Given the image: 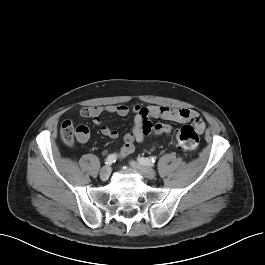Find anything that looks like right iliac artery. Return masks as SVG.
I'll return each instance as SVG.
<instances>
[{
    "label": "right iliac artery",
    "mask_w": 265,
    "mask_h": 265,
    "mask_svg": "<svg viewBox=\"0 0 265 265\" xmlns=\"http://www.w3.org/2000/svg\"><path fill=\"white\" fill-rule=\"evenodd\" d=\"M117 160V155L116 154H110L107 156L105 160V164L111 165Z\"/></svg>",
    "instance_id": "82829eb1"
}]
</instances>
